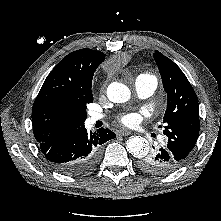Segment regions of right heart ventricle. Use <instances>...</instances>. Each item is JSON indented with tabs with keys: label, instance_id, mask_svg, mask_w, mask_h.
<instances>
[{
	"label": "right heart ventricle",
	"instance_id": "1",
	"mask_svg": "<svg viewBox=\"0 0 221 221\" xmlns=\"http://www.w3.org/2000/svg\"><path fill=\"white\" fill-rule=\"evenodd\" d=\"M144 76H150V75H147V74H143Z\"/></svg>",
	"mask_w": 221,
	"mask_h": 221
}]
</instances>
